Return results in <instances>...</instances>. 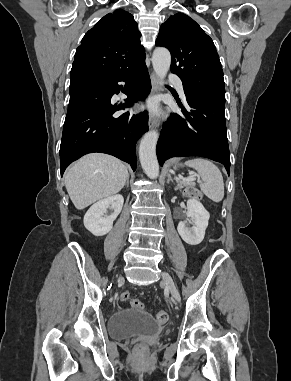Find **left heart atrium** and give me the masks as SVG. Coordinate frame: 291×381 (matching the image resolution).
<instances>
[{
  "instance_id": "1",
  "label": "left heart atrium",
  "mask_w": 291,
  "mask_h": 381,
  "mask_svg": "<svg viewBox=\"0 0 291 381\" xmlns=\"http://www.w3.org/2000/svg\"><path fill=\"white\" fill-rule=\"evenodd\" d=\"M149 107H150L151 110H155L156 109V106H155L154 102L150 103Z\"/></svg>"
}]
</instances>
